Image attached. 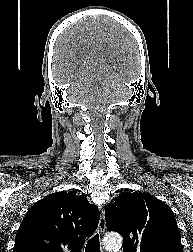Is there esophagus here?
I'll use <instances>...</instances> for the list:
<instances>
[{"instance_id":"1","label":"esophagus","mask_w":193,"mask_h":252,"mask_svg":"<svg viewBox=\"0 0 193 252\" xmlns=\"http://www.w3.org/2000/svg\"><path fill=\"white\" fill-rule=\"evenodd\" d=\"M105 229H106L105 212L102 209L99 219L98 231L100 234H104Z\"/></svg>"}]
</instances>
